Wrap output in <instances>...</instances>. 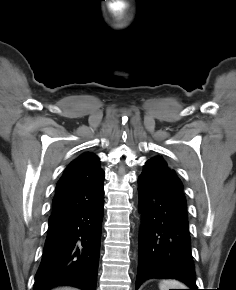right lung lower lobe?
<instances>
[{
	"instance_id": "obj_1",
	"label": "right lung lower lobe",
	"mask_w": 236,
	"mask_h": 290,
	"mask_svg": "<svg viewBox=\"0 0 236 290\" xmlns=\"http://www.w3.org/2000/svg\"><path fill=\"white\" fill-rule=\"evenodd\" d=\"M103 202L102 196L49 223L34 290L58 285L96 290Z\"/></svg>"
}]
</instances>
